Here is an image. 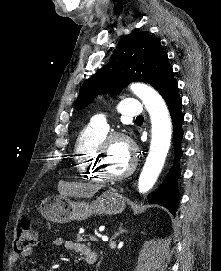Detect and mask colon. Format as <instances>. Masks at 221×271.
<instances>
[{"instance_id": "5ec220e1", "label": "colon", "mask_w": 221, "mask_h": 271, "mask_svg": "<svg viewBox=\"0 0 221 271\" xmlns=\"http://www.w3.org/2000/svg\"><path fill=\"white\" fill-rule=\"evenodd\" d=\"M37 240L38 234L33 223L29 219L23 218L15 237V251L18 253L23 252L34 246Z\"/></svg>"}]
</instances>
